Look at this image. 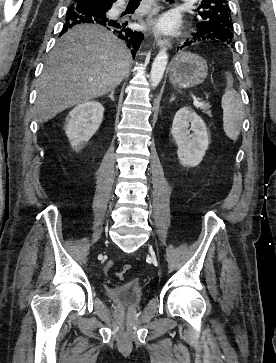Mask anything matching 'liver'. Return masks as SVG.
Listing matches in <instances>:
<instances>
[{
	"instance_id": "liver-1",
	"label": "liver",
	"mask_w": 276,
	"mask_h": 363,
	"mask_svg": "<svg viewBox=\"0 0 276 363\" xmlns=\"http://www.w3.org/2000/svg\"><path fill=\"white\" fill-rule=\"evenodd\" d=\"M129 69L127 47L112 32L98 25L74 26L60 37L39 78L38 121L107 94Z\"/></svg>"
}]
</instances>
